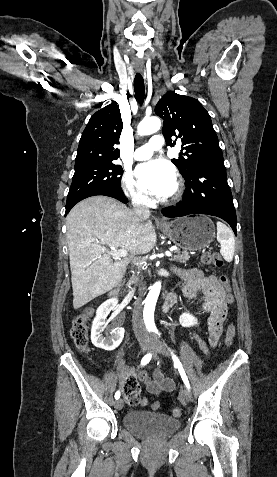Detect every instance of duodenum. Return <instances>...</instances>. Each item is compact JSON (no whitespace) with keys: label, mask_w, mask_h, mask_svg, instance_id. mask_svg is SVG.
<instances>
[{"label":"duodenum","mask_w":277,"mask_h":477,"mask_svg":"<svg viewBox=\"0 0 277 477\" xmlns=\"http://www.w3.org/2000/svg\"><path fill=\"white\" fill-rule=\"evenodd\" d=\"M110 298H118L120 293H119V287L113 288L109 293H108ZM176 302V298L173 295H168L165 298L164 302V310H168L170 307H172Z\"/></svg>","instance_id":"obj_1"}]
</instances>
